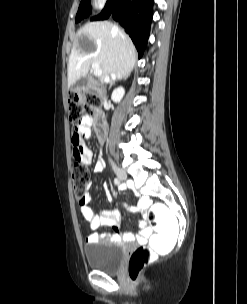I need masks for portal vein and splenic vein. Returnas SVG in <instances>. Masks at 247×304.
Masks as SVG:
<instances>
[{
	"label": "portal vein and splenic vein",
	"mask_w": 247,
	"mask_h": 304,
	"mask_svg": "<svg viewBox=\"0 0 247 304\" xmlns=\"http://www.w3.org/2000/svg\"><path fill=\"white\" fill-rule=\"evenodd\" d=\"M92 68L94 70V75L100 76L102 74V70L100 69V66L98 63H93Z\"/></svg>",
	"instance_id": "1"
}]
</instances>
